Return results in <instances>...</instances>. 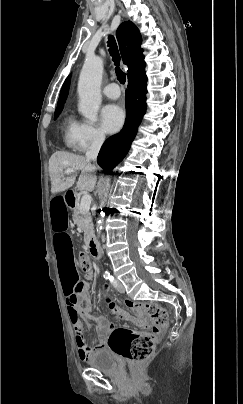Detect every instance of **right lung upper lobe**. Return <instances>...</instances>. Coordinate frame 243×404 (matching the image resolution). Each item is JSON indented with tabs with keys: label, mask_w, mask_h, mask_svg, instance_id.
Returning <instances> with one entry per match:
<instances>
[{
	"label": "right lung upper lobe",
	"mask_w": 243,
	"mask_h": 404,
	"mask_svg": "<svg viewBox=\"0 0 243 404\" xmlns=\"http://www.w3.org/2000/svg\"><path fill=\"white\" fill-rule=\"evenodd\" d=\"M116 36L123 62L128 66V79L143 72L145 62L142 55L143 50L140 48L142 38L138 28L131 21H125L117 29ZM69 85L70 76L62 86L57 108L63 107L68 95Z\"/></svg>",
	"instance_id": "cb5924a9"
}]
</instances>
